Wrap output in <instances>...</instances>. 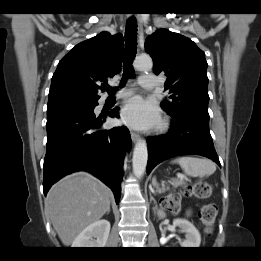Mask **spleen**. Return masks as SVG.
Listing matches in <instances>:
<instances>
[{
  "label": "spleen",
  "instance_id": "3e777b00",
  "mask_svg": "<svg viewBox=\"0 0 261 261\" xmlns=\"http://www.w3.org/2000/svg\"><path fill=\"white\" fill-rule=\"evenodd\" d=\"M173 163H178L186 175L193 177L210 176L216 171V164L209 159L183 156L175 159ZM152 183L154 186L157 185L155 178H153Z\"/></svg>",
  "mask_w": 261,
  "mask_h": 261
}]
</instances>
